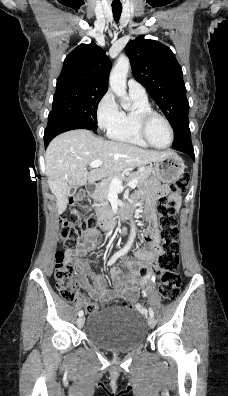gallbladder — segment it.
Returning a JSON list of instances; mask_svg holds the SVG:
<instances>
[{
    "instance_id": "bac80fb5",
    "label": "gallbladder",
    "mask_w": 228,
    "mask_h": 396,
    "mask_svg": "<svg viewBox=\"0 0 228 396\" xmlns=\"http://www.w3.org/2000/svg\"><path fill=\"white\" fill-rule=\"evenodd\" d=\"M77 186H75V185H73V186H71V191H72V193H74L76 190H77Z\"/></svg>"
}]
</instances>
